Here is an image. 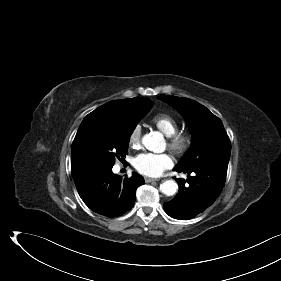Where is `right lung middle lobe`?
<instances>
[{"mask_svg": "<svg viewBox=\"0 0 281 281\" xmlns=\"http://www.w3.org/2000/svg\"><path fill=\"white\" fill-rule=\"evenodd\" d=\"M152 105L153 102L149 100L125 121L90 126L79 148L84 167L89 170L102 166H113L116 157L124 158L128 154V144L134 128Z\"/></svg>", "mask_w": 281, "mask_h": 281, "instance_id": "obj_1", "label": "right lung middle lobe"}]
</instances>
